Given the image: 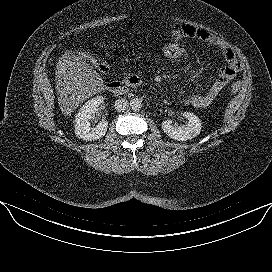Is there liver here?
Instances as JSON below:
<instances>
[{"label":"liver","mask_w":272,"mask_h":272,"mask_svg":"<svg viewBox=\"0 0 272 272\" xmlns=\"http://www.w3.org/2000/svg\"><path fill=\"white\" fill-rule=\"evenodd\" d=\"M55 75L58 103L65 116L87 98L100 93L104 86L100 74L70 52L60 57Z\"/></svg>","instance_id":"1"}]
</instances>
